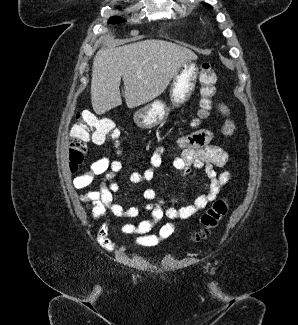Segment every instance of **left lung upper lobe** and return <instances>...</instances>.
Segmentation results:
<instances>
[{"label": "left lung upper lobe", "instance_id": "1", "mask_svg": "<svg viewBox=\"0 0 298 325\" xmlns=\"http://www.w3.org/2000/svg\"><path fill=\"white\" fill-rule=\"evenodd\" d=\"M204 5L207 6L208 8H212L210 5H208V4H206V3H204Z\"/></svg>", "mask_w": 298, "mask_h": 325}]
</instances>
